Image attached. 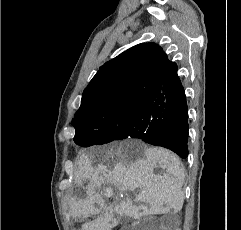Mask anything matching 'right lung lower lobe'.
<instances>
[{"label":"right lung lower lobe","mask_w":241,"mask_h":230,"mask_svg":"<svg viewBox=\"0 0 241 230\" xmlns=\"http://www.w3.org/2000/svg\"><path fill=\"white\" fill-rule=\"evenodd\" d=\"M177 65L172 63L163 77L159 95L145 108L150 123L145 131L129 133L130 138L168 148L182 158L188 156V107Z\"/></svg>","instance_id":"98d812e1"}]
</instances>
